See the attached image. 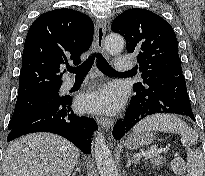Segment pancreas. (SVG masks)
Returning a JSON list of instances; mask_svg holds the SVG:
<instances>
[{
    "mask_svg": "<svg viewBox=\"0 0 205 176\" xmlns=\"http://www.w3.org/2000/svg\"><path fill=\"white\" fill-rule=\"evenodd\" d=\"M165 161L166 160L164 157L157 155L153 159L150 160V163L159 167L160 165H163Z\"/></svg>",
    "mask_w": 205,
    "mask_h": 176,
    "instance_id": "pancreas-1",
    "label": "pancreas"
}]
</instances>
